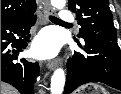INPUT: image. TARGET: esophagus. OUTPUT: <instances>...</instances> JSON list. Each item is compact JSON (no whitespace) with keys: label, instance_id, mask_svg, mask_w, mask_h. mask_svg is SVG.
Here are the masks:
<instances>
[{"label":"esophagus","instance_id":"esophagus-1","mask_svg":"<svg viewBox=\"0 0 121 94\" xmlns=\"http://www.w3.org/2000/svg\"><path fill=\"white\" fill-rule=\"evenodd\" d=\"M44 5H45V7H44V20H45V22H48V17L53 14L54 10L51 7L48 0H45ZM60 63H61V61L59 58L54 59V60L49 61L47 63V68L49 70H54L55 68H57L60 65Z\"/></svg>","mask_w":121,"mask_h":94}]
</instances>
